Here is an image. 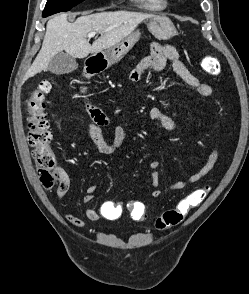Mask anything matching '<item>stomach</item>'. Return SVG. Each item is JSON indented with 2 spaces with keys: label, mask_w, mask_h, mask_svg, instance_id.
Masks as SVG:
<instances>
[{
  "label": "stomach",
  "mask_w": 249,
  "mask_h": 294,
  "mask_svg": "<svg viewBox=\"0 0 249 294\" xmlns=\"http://www.w3.org/2000/svg\"><path fill=\"white\" fill-rule=\"evenodd\" d=\"M147 26L149 31L159 40H168L177 34L172 21L165 16L149 18ZM139 37V31L132 32L116 45L96 54L100 64L108 68L119 62L132 49Z\"/></svg>",
  "instance_id": "1"
}]
</instances>
